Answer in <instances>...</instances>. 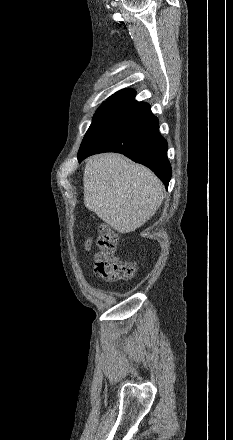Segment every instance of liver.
<instances>
[{"label":"liver","instance_id":"obj_1","mask_svg":"<svg viewBox=\"0 0 233 440\" xmlns=\"http://www.w3.org/2000/svg\"><path fill=\"white\" fill-rule=\"evenodd\" d=\"M84 204L120 233L140 228L156 213L164 199L155 174L121 154H99L87 159Z\"/></svg>","mask_w":233,"mask_h":440}]
</instances>
